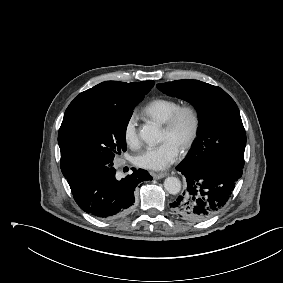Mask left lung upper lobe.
I'll return each mask as SVG.
<instances>
[{
  "label": "left lung upper lobe",
  "mask_w": 283,
  "mask_h": 283,
  "mask_svg": "<svg viewBox=\"0 0 283 283\" xmlns=\"http://www.w3.org/2000/svg\"><path fill=\"white\" fill-rule=\"evenodd\" d=\"M163 93L191 103L198 112V138L181 162L191 169L212 164L244 167L245 129L234 100L220 87L198 80L157 84Z\"/></svg>",
  "instance_id": "1"
}]
</instances>
